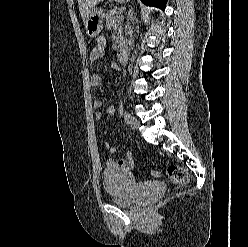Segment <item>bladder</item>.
<instances>
[{
    "mask_svg": "<svg viewBox=\"0 0 248 247\" xmlns=\"http://www.w3.org/2000/svg\"><path fill=\"white\" fill-rule=\"evenodd\" d=\"M103 182L110 201L117 206H132L141 198L137 194L138 183L126 168L114 166L104 170Z\"/></svg>",
    "mask_w": 248,
    "mask_h": 247,
    "instance_id": "1",
    "label": "bladder"
}]
</instances>
